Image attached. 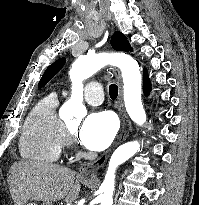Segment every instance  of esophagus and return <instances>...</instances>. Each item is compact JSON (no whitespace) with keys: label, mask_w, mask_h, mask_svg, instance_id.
Instances as JSON below:
<instances>
[{"label":"esophagus","mask_w":199,"mask_h":205,"mask_svg":"<svg viewBox=\"0 0 199 205\" xmlns=\"http://www.w3.org/2000/svg\"><path fill=\"white\" fill-rule=\"evenodd\" d=\"M113 72L116 78V82L118 85V97H117V108H118V113H119V117L121 120V128H120V132L115 140V142L112 144V146L106 151L104 152L99 158L84 163L80 166L79 168V174L83 177H87V176H94L97 172L98 169H100L104 163L106 162V160L108 159L109 155L112 153V151L119 145L121 144L123 141H125L127 139V137L130 134L131 131V122L125 112V108H124V102H123V94H122V80H121V75H120V71L117 68H113Z\"/></svg>","instance_id":"esophagus-1"}]
</instances>
